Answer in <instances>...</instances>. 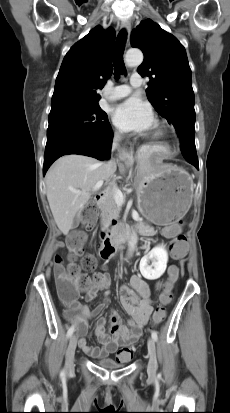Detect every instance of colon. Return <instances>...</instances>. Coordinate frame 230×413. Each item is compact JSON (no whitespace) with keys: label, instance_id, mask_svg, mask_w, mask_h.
<instances>
[{"label":"colon","instance_id":"obj_1","mask_svg":"<svg viewBox=\"0 0 230 413\" xmlns=\"http://www.w3.org/2000/svg\"><path fill=\"white\" fill-rule=\"evenodd\" d=\"M97 210L94 205L88 204L82 211L81 228L72 234L68 240L69 248V264L64 266L62 258L56 256L54 259L53 273L55 284L60 298L66 303H73L79 291H85L92 288L100 277L94 274L90 277L87 271L93 270L96 267L97 260L92 255H87L83 259V269L76 263V259L81 255L82 249L88 238L86 232L90 230L96 222ZM190 246V241L184 234H179L172 242V255L175 259L185 256V248ZM179 276V268L176 264L170 265L168 269V278H162L161 284L163 292L160 294V306H158L153 315L154 324L162 322L166 316L165 306L171 302V290L175 287L176 280ZM134 349L127 347L124 349L126 359H130Z\"/></svg>","mask_w":230,"mask_h":413}]
</instances>
